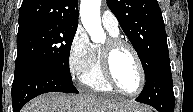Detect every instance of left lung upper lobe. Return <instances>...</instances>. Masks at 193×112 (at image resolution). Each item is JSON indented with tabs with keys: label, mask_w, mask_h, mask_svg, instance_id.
<instances>
[{
	"label": "left lung upper lobe",
	"mask_w": 193,
	"mask_h": 112,
	"mask_svg": "<svg viewBox=\"0 0 193 112\" xmlns=\"http://www.w3.org/2000/svg\"><path fill=\"white\" fill-rule=\"evenodd\" d=\"M106 1L136 50L147 77L157 60L168 52L165 25L157 0Z\"/></svg>",
	"instance_id": "1"
}]
</instances>
